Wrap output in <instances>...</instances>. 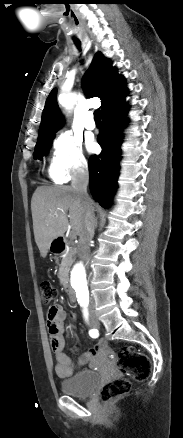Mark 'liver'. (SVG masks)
<instances>
[{
	"mask_svg": "<svg viewBox=\"0 0 183 438\" xmlns=\"http://www.w3.org/2000/svg\"><path fill=\"white\" fill-rule=\"evenodd\" d=\"M90 204L93 208L91 199ZM31 210L35 242L43 258L51 243L62 237L69 226L75 235L83 230L85 207L70 186L38 187L32 196Z\"/></svg>",
	"mask_w": 183,
	"mask_h": 438,
	"instance_id": "6515ba94",
	"label": "liver"
}]
</instances>
